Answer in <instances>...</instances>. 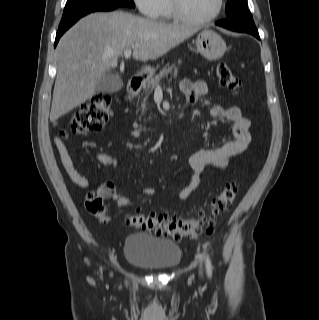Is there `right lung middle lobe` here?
Here are the masks:
<instances>
[{
    "label": "right lung middle lobe",
    "instance_id": "dd1d6c3e",
    "mask_svg": "<svg viewBox=\"0 0 319 320\" xmlns=\"http://www.w3.org/2000/svg\"><path fill=\"white\" fill-rule=\"evenodd\" d=\"M119 6L134 7L132 0H67L59 27L90 12L109 10Z\"/></svg>",
    "mask_w": 319,
    "mask_h": 320
}]
</instances>
